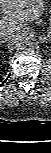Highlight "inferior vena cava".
<instances>
[{
  "mask_svg": "<svg viewBox=\"0 0 51 153\" xmlns=\"http://www.w3.org/2000/svg\"><path fill=\"white\" fill-rule=\"evenodd\" d=\"M15 30H6V29H1L0 31V40L1 41H7L10 40L14 36Z\"/></svg>",
  "mask_w": 51,
  "mask_h": 153,
  "instance_id": "1",
  "label": "inferior vena cava"
}]
</instances>
